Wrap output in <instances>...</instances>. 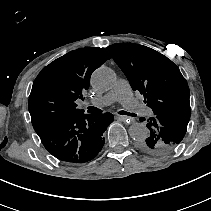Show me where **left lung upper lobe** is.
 <instances>
[{"label": "left lung upper lobe", "instance_id": "left-lung-upper-lobe-1", "mask_svg": "<svg viewBox=\"0 0 211 211\" xmlns=\"http://www.w3.org/2000/svg\"><path fill=\"white\" fill-rule=\"evenodd\" d=\"M107 50L132 89L144 96V103L153 111V116L147 119L150 136L142 143L143 150L164 154L178 147L190 119L189 87L179 68L146 46L117 43Z\"/></svg>", "mask_w": 211, "mask_h": 211}]
</instances>
